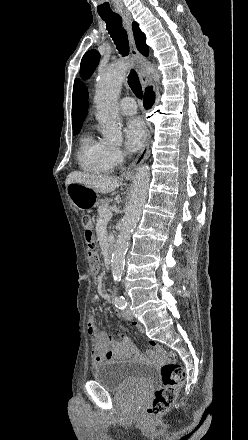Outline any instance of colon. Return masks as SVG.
Masks as SVG:
<instances>
[{
  "instance_id": "1",
  "label": "colon",
  "mask_w": 248,
  "mask_h": 440,
  "mask_svg": "<svg viewBox=\"0 0 248 440\" xmlns=\"http://www.w3.org/2000/svg\"><path fill=\"white\" fill-rule=\"evenodd\" d=\"M82 224L85 228L86 241L89 247V263L92 270L99 268V259L94 253L92 238L93 220L84 217ZM162 385L155 391L152 403L148 406L146 414L149 418H156L166 414L174 403L177 393L185 379L184 368L176 361L173 353L167 356V362L161 367Z\"/></svg>"
}]
</instances>
